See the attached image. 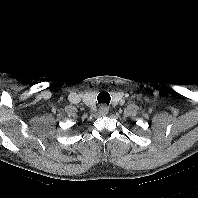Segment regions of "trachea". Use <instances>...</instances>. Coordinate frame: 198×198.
<instances>
[{"mask_svg": "<svg viewBox=\"0 0 198 198\" xmlns=\"http://www.w3.org/2000/svg\"><path fill=\"white\" fill-rule=\"evenodd\" d=\"M97 100L99 104L103 103V104L109 105L111 97L108 92L102 91L97 96Z\"/></svg>", "mask_w": 198, "mask_h": 198, "instance_id": "1", "label": "trachea"}]
</instances>
